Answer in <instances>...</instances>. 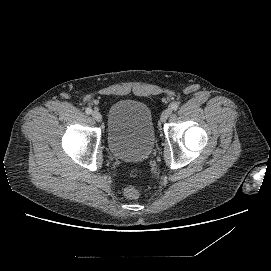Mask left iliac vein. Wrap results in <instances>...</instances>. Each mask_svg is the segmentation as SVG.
Returning a JSON list of instances; mask_svg holds the SVG:
<instances>
[{
    "label": "left iliac vein",
    "instance_id": "4c4485c4",
    "mask_svg": "<svg viewBox=\"0 0 271 271\" xmlns=\"http://www.w3.org/2000/svg\"><path fill=\"white\" fill-rule=\"evenodd\" d=\"M171 114H172V109L166 108L161 114V121L165 122Z\"/></svg>",
    "mask_w": 271,
    "mask_h": 271
}]
</instances>
